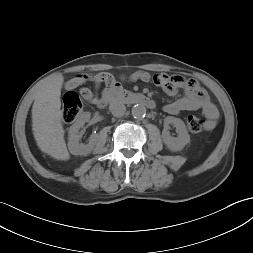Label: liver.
<instances>
[{
  "label": "liver",
  "mask_w": 253,
  "mask_h": 253,
  "mask_svg": "<svg viewBox=\"0 0 253 253\" xmlns=\"http://www.w3.org/2000/svg\"><path fill=\"white\" fill-rule=\"evenodd\" d=\"M64 77L56 76L36 92L32 106V130L39 149L57 160L70 158L64 139L61 88Z\"/></svg>",
  "instance_id": "6515ba94"
}]
</instances>
